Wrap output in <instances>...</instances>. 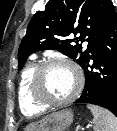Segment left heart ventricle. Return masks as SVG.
Listing matches in <instances>:
<instances>
[{
  "mask_svg": "<svg viewBox=\"0 0 117 131\" xmlns=\"http://www.w3.org/2000/svg\"><path fill=\"white\" fill-rule=\"evenodd\" d=\"M77 78L68 67L58 65L47 69L42 77L41 91L51 100H62L75 90Z\"/></svg>",
  "mask_w": 117,
  "mask_h": 131,
  "instance_id": "1",
  "label": "left heart ventricle"
}]
</instances>
